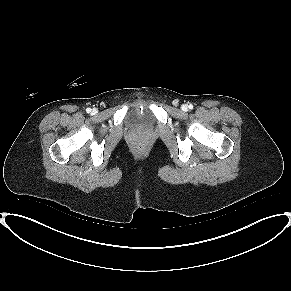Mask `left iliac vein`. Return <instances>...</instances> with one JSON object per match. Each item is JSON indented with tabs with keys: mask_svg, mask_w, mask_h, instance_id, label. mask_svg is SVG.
Here are the masks:
<instances>
[{
	"mask_svg": "<svg viewBox=\"0 0 291 291\" xmlns=\"http://www.w3.org/2000/svg\"><path fill=\"white\" fill-rule=\"evenodd\" d=\"M182 109L186 111L188 109V106L187 105H183Z\"/></svg>",
	"mask_w": 291,
	"mask_h": 291,
	"instance_id": "left-iliac-vein-1",
	"label": "left iliac vein"
}]
</instances>
